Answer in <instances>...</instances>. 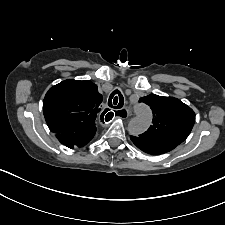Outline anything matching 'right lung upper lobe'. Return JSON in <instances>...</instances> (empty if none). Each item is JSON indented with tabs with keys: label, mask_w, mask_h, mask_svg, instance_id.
I'll use <instances>...</instances> for the list:
<instances>
[{
	"label": "right lung upper lobe",
	"mask_w": 225,
	"mask_h": 225,
	"mask_svg": "<svg viewBox=\"0 0 225 225\" xmlns=\"http://www.w3.org/2000/svg\"><path fill=\"white\" fill-rule=\"evenodd\" d=\"M101 102L102 95L94 83L69 79L49 89L43 101V113L53 133L93 136Z\"/></svg>",
	"instance_id": "1"
}]
</instances>
